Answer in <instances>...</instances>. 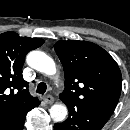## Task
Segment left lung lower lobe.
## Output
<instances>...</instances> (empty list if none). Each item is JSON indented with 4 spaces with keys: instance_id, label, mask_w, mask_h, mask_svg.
Returning <instances> with one entry per match:
<instances>
[{
    "instance_id": "left-lung-lower-lobe-1",
    "label": "left lung lower lobe",
    "mask_w": 130,
    "mask_h": 130,
    "mask_svg": "<svg viewBox=\"0 0 130 130\" xmlns=\"http://www.w3.org/2000/svg\"><path fill=\"white\" fill-rule=\"evenodd\" d=\"M64 103L68 107L69 117L63 123H56L54 130H101L111 116L95 106Z\"/></svg>"
}]
</instances>
